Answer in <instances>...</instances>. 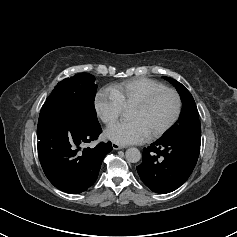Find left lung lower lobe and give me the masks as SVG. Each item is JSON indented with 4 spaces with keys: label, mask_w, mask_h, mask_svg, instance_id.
I'll return each mask as SVG.
<instances>
[{
    "label": "left lung lower lobe",
    "mask_w": 237,
    "mask_h": 237,
    "mask_svg": "<svg viewBox=\"0 0 237 237\" xmlns=\"http://www.w3.org/2000/svg\"><path fill=\"white\" fill-rule=\"evenodd\" d=\"M201 136L161 138L143 150L137 166L143 183L156 193H169L180 187L192 173L200 152Z\"/></svg>",
    "instance_id": "1"
}]
</instances>
